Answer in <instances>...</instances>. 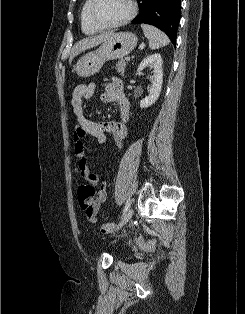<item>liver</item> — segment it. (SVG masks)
<instances>
[{"label": "liver", "mask_w": 245, "mask_h": 314, "mask_svg": "<svg viewBox=\"0 0 245 314\" xmlns=\"http://www.w3.org/2000/svg\"><path fill=\"white\" fill-rule=\"evenodd\" d=\"M113 34V32H107V33H102L96 37H90L83 39L79 42H77L73 49H72V54L70 56V63L72 62L73 58L82 53L83 51L93 48L103 41H105L108 37H110Z\"/></svg>", "instance_id": "obj_1"}]
</instances>
